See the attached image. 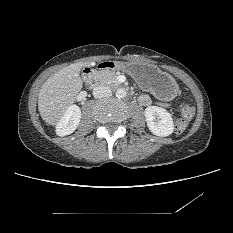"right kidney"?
<instances>
[{"label": "right kidney", "mask_w": 233, "mask_h": 233, "mask_svg": "<svg viewBox=\"0 0 233 233\" xmlns=\"http://www.w3.org/2000/svg\"><path fill=\"white\" fill-rule=\"evenodd\" d=\"M81 119V110L77 105H71L56 125V134L66 136L73 133Z\"/></svg>", "instance_id": "1"}]
</instances>
